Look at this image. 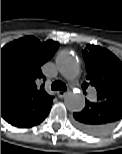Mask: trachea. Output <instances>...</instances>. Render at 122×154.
<instances>
[{
	"label": "trachea",
	"instance_id": "obj_1",
	"mask_svg": "<svg viewBox=\"0 0 122 154\" xmlns=\"http://www.w3.org/2000/svg\"><path fill=\"white\" fill-rule=\"evenodd\" d=\"M52 90H63L65 91L67 89L66 84H64L61 81H54L51 85Z\"/></svg>",
	"mask_w": 122,
	"mask_h": 154
}]
</instances>
